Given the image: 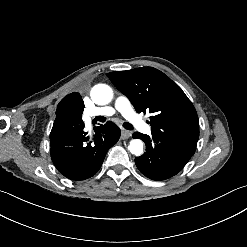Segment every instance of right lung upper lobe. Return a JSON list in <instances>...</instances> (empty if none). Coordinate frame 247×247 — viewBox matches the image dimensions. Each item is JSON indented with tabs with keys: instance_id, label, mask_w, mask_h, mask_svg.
<instances>
[{
	"instance_id": "cb5924a9",
	"label": "right lung upper lobe",
	"mask_w": 247,
	"mask_h": 247,
	"mask_svg": "<svg viewBox=\"0 0 247 247\" xmlns=\"http://www.w3.org/2000/svg\"><path fill=\"white\" fill-rule=\"evenodd\" d=\"M84 103L71 102L64 97L57 106L53 129L82 122Z\"/></svg>"
}]
</instances>
